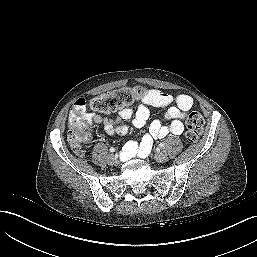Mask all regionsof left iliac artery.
Returning <instances> with one entry per match:
<instances>
[{"instance_id": "44dca946", "label": "left iliac artery", "mask_w": 257, "mask_h": 257, "mask_svg": "<svg viewBox=\"0 0 257 257\" xmlns=\"http://www.w3.org/2000/svg\"><path fill=\"white\" fill-rule=\"evenodd\" d=\"M164 146H165V143H160V144H159V147H160V148H163Z\"/></svg>"}]
</instances>
